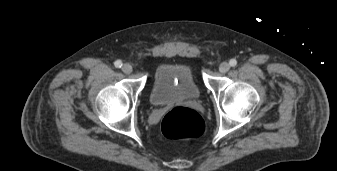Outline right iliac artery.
<instances>
[{
  "label": "right iliac artery",
  "instance_id": "right-iliac-artery-1",
  "mask_svg": "<svg viewBox=\"0 0 337 171\" xmlns=\"http://www.w3.org/2000/svg\"><path fill=\"white\" fill-rule=\"evenodd\" d=\"M115 67L117 68H120L122 66V62L120 60H117L115 63H114Z\"/></svg>",
  "mask_w": 337,
  "mask_h": 171
}]
</instances>
